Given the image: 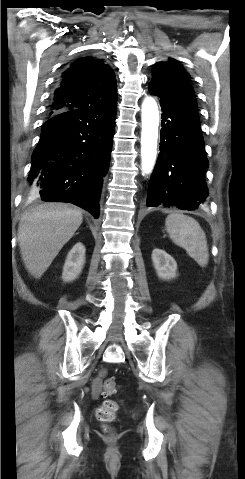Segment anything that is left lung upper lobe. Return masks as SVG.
<instances>
[{"label": "left lung upper lobe", "mask_w": 245, "mask_h": 479, "mask_svg": "<svg viewBox=\"0 0 245 479\" xmlns=\"http://www.w3.org/2000/svg\"><path fill=\"white\" fill-rule=\"evenodd\" d=\"M189 74L173 58L167 62H157L154 65L152 80H162L165 83H174L181 80L190 81Z\"/></svg>", "instance_id": "1"}]
</instances>
